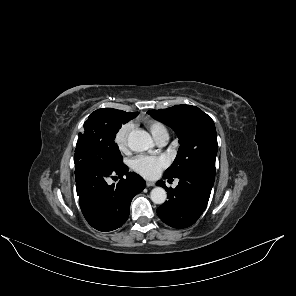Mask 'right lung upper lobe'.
<instances>
[{
    "mask_svg": "<svg viewBox=\"0 0 296 296\" xmlns=\"http://www.w3.org/2000/svg\"><path fill=\"white\" fill-rule=\"evenodd\" d=\"M100 110H102V109H98V110L94 111L93 114L98 113Z\"/></svg>",
    "mask_w": 296,
    "mask_h": 296,
    "instance_id": "right-lung-upper-lobe-1",
    "label": "right lung upper lobe"
}]
</instances>
